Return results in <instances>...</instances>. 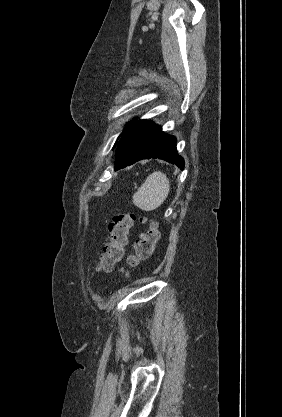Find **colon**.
<instances>
[{"mask_svg": "<svg viewBox=\"0 0 282 417\" xmlns=\"http://www.w3.org/2000/svg\"><path fill=\"white\" fill-rule=\"evenodd\" d=\"M136 221L137 217L131 212L117 213L109 221V241L98 260V268L100 271L108 272L116 264L121 262L125 247L128 243L130 229ZM142 223H147V231L136 241L133 255L127 259L126 266L121 269L123 275H128L141 262L149 260L160 239L158 224L156 222L143 218Z\"/></svg>", "mask_w": 282, "mask_h": 417, "instance_id": "5ec220e1", "label": "colon"}]
</instances>
